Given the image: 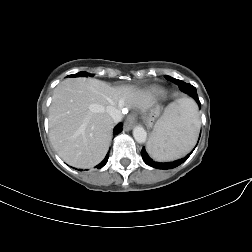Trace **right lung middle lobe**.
Returning <instances> with one entry per match:
<instances>
[{
    "label": "right lung middle lobe",
    "mask_w": 252,
    "mask_h": 252,
    "mask_svg": "<svg viewBox=\"0 0 252 252\" xmlns=\"http://www.w3.org/2000/svg\"><path fill=\"white\" fill-rule=\"evenodd\" d=\"M89 75L92 76V74L87 72H79L77 74L69 75V77H88Z\"/></svg>",
    "instance_id": "right-lung-middle-lobe-1"
}]
</instances>
